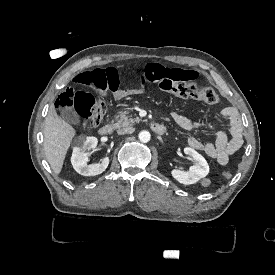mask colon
Instances as JSON below:
<instances>
[{"instance_id":"colon-1","label":"colon","mask_w":275,"mask_h":275,"mask_svg":"<svg viewBox=\"0 0 275 275\" xmlns=\"http://www.w3.org/2000/svg\"><path fill=\"white\" fill-rule=\"evenodd\" d=\"M107 82L104 72H92L91 68H78L77 77L72 79V86L82 88L83 91L68 89L56 100L55 106L74 118L79 126L95 127L102 122L107 105L101 94L94 96L88 92H108ZM158 91L163 96L196 99L214 106L220 103L219 95L202 85L162 80L158 84ZM222 176L228 179L231 177V172L224 170Z\"/></svg>"}]
</instances>
